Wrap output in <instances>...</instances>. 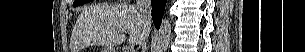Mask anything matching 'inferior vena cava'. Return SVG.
Masks as SVG:
<instances>
[{
    "mask_svg": "<svg viewBox=\"0 0 305 52\" xmlns=\"http://www.w3.org/2000/svg\"><path fill=\"white\" fill-rule=\"evenodd\" d=\"M136 9L139 11L142 23L146 28L144 40L139 44V48L142 49V52H146L147 43L145 40L147 39L151 28V0H137Z\"/></svg>",
    "mask_w": 305,
    "mask_h": 52,
    "instance_id": "obj_1",
    "label": "inferior vena cava"
}]
</instances>
